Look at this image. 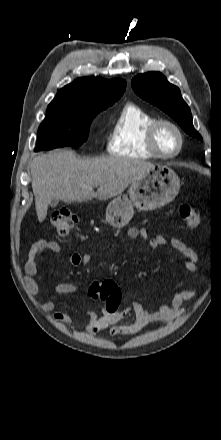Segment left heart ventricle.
<instances>
[{"label":"left heart ventricle","mask_w":221,"mask_h":440,"mask_svg":"<svg viewBox=\"0 0 221 440\" xmlns=\"http://www.w3.org/2000/svg\"><path fill=\"white\" fill-rule=\"evenodd\" d=\"M157 143L160 150L164 153H172L178 147V136L169 126H162L158 132Z\"/></svg>","instance_id":"1"}]
</instances>
